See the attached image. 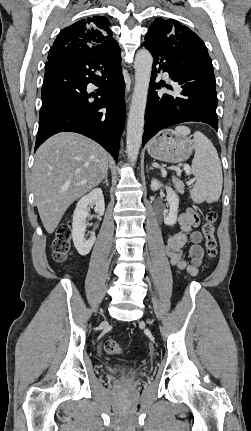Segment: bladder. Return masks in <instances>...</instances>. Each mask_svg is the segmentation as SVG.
<instances>
[{"instance_id":"1","label":"bladder","mask_w":251,"mask_h":431,"mask_svg":"<svg viewBox=\"0 0 251 431\" xmlns=\"http://www.w3.org/2000/svg\"><path fill=\"white\" fill-rule=\"evenodd\" d=\"M122 370H124V369L121 367H118V366H114V367L109 368V372H111V373H116V372H119Z\"/></svg>"}]
</instances>
